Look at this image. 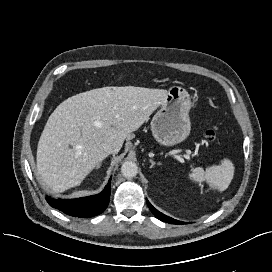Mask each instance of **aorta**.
Returning <instances> with one entry per match:
<instances>
[{
    "label": "aorta",
    "instance_id": "aorta-1",
    "mask_svg": "<svg viewBox=\"0 0 272 272\" xmlns=\"http://www.w3.org/2000/svg\"><path fill=\"white\" fill-rule=\"evenodd\" d=\"M121 173L126 178L135 177L138 173V167L135 162L125 161L121 166Z\"/></svg>",
    "mask_w": 272,
    "mask_h": 272
}]
</instances>
